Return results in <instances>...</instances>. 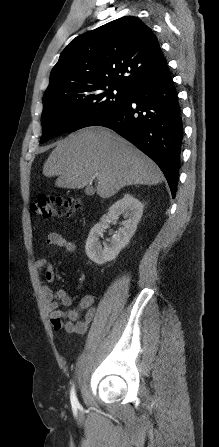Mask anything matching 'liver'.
<instances>
[{"label":"liver","mask_w":219,"mask_h":447,"mask_svg":"<svg viewBox=\"0 0 219 447\" xmlns=\"http://www.w3.org/2000/svg\"><path fill=\"white\" fill-rule=\"evenodd\" d=\"M46 177L57 176L55 186L81 189L97 178L101 198L129 185H156L164 180L160 168L115 132L88 127L57 142L43 167Z\"/></svg>","instance_id":"1"}]
</instances>
